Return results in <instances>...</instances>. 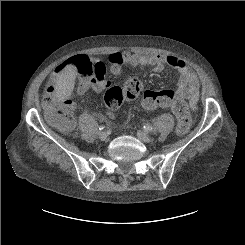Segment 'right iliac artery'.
Wrapping results in <instances>:
<instances>
[{"label":"right iliac artery","instance_id":"obj_1","mask_svg":"<svg viewBox=\"0 0 245 245\" xmlns=\"http://www.w3.org/2000/svg\"><path fill=\"white\" fill-rule=\"evenodd\" d=\"M105 127L102 125V126H99V130H103Z\"/></svg>","mask_w":245,"mask_h":245}]
</instances>
